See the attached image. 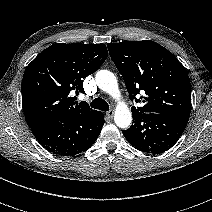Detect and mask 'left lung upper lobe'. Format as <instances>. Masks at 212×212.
Listing matches in <instances>:
<instances>
[{
  "label": "left lung upper lobe",
  "instance_id": "5c2ea615",
  "mask_svg": "<svg viewBox=\"0 0 212 212\" xmlns=\"http://www.w3.org/2000/svg\"><path fill=\"white\" fill-rule=\"evenodd\" d=\"M107 46L130 99L144 103L142 107L131 108L133 115L159 113L189 118V76L170 51L150 40L108 43ZM140 92L144 96L137 99Z\"/></svg>",
  "mask_w": 212,
  "mask_h": 212
}]
</instances>
